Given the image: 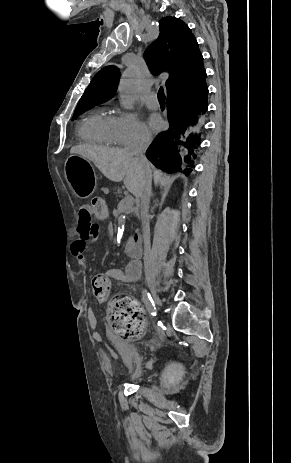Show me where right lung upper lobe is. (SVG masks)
<instances>
[{"label": "right lung upper lobe", "instance_id": "right-lung-upper-lobe-1", "mask_svg": "<svg viewBox=\"0 0 291 463\" xmlns=\"http://www.w3.org/2000/svg\"><path fill=\"white\" fill-rule=\"evenodd\" d=\"M159 28V37L144 53L148 67L155 74L169 72L168 94L194 90L205 73L195 36L183 21L175 17L162 18ZM118 80L119 71L115 66L104 67L94 76L78 105L107 101L115 94Z\"/></svg>", "mask_w": 291, "mask_h": 463}]
</instances>
